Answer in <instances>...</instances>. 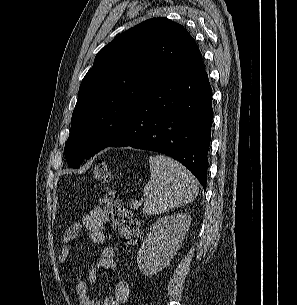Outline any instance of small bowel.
Listing matches in <instances>:
<instances>
[{
    "label": "small bowel",
    "instance_id": "obj_1",
    "mask_svg": "<svg viewBox=\"0 0 297 305\" xmlns=\"http://www.w3.org/2000/svg\"><path fill=\"white\" fill-rule=\"evenodd\" d=\"M107 211L102 207H94L80 222L69 227L63 234L58 260L61 264L69 258L73 243L84 233H88L94 243L102 245L101 258L89 268L87 279L80 278L76 284V291L81 305H123L130 298V286L126 281H117L113 294L104 298L102 302L92 297V287L95 283V273L98 267L107 269L116 268L114 249L106 244L104 226L108 222Z\"/></svg>",
    "mask_w": 297,
    "mask_h": 305
}]
</instances>
